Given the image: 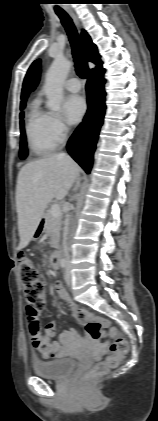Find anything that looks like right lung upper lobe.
<instances>
[{"mask_svg":"<svg viewBox=\"0 0 158 421\" xmlns=\"http://www.w3.org/2000/svg\"><path fill=\"white\" fill-rule=\"evenodd\" d=\"M82 45L86 52L87 59L90 62L95 63L97 65V68L100 67L102 65V61L100 60V55L98 54L97 47L95 44L92 43L90 36L85 31L82 32ZM39 64H40V60H36L30 66L25 76V79L23 82L22 93H21V100H22L21 105H25V101L29 95L32 80L34 78V75L36 74Z\"/></svg>","mask_w":158,"mask_h":421,"instance_id":"cb5924a9","label":"right lung upper lobe"}]
</instances>
